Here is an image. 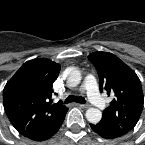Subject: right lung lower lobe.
I'll use <instances>...</instances> for the list:
<instances>
[{
  "label": "right lung lower lobe",
  "mask_w": 145,
  "mask_h": 145,
  "mask_svg": "<svg viewBox=\"0 0 145 145\" xmlns=\"http://www.w3.org/2000/svg\"><path fill=\"white\" fill-rule=\"evenodd\" d=\"M67 111V110H66ZM66 111H64L63 113H61L55 120L54 122H52L49 126H47L46 128L33 132L29 135H26L25 137L33 140V141H44L49 139L50 137H52L54 134L57 133V131L59 130V128L61 127L64 119H65V115H66Z\"/></svg>",
  "instance_id": "1"
}]
</instances>
